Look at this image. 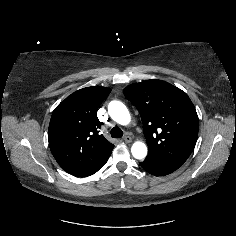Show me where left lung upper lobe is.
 Here are the masks:
<instances>
[{
	"label": "left lung upper lobe",
	"instance_id": "1",
	"mask_svg": "<svg viewBox=\"0 0 236 236\" xmlns=\"http://www.w3.org/2000/svg\"><path fill=\"white\" fill-rule=\"evenodd\" d=\"M124 95L141 115L147 158L184 163L195 147L199 128L187 94L165 81L151 79L127 86Z\"/></svg>",
	"mask_w": 236,
	"mask_h": 236
}]
</instances>
